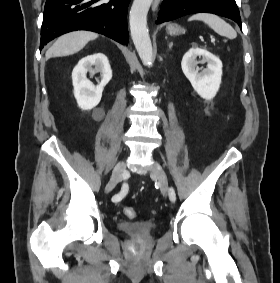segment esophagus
Here are the masks:
<instances>
[{
  "mask_svg": "<svg viewBox=\"0 0 280 283\" xmlns=\"http://www.w3.org/2000/svg\"><path fill=\"white\" fill-rule=\"evenodd\" d=\"M160 3V0H153L152 10L155 11Z\"/></svg>",
  "mask_w": 280,
  "mask_h": 283,
  "instance_id": "1",
  "label": "esophagus"
}]
</instances>
